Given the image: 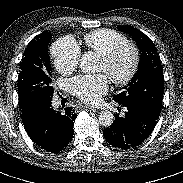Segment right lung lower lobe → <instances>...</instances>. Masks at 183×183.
Masks as SVG:
<instances>
[{"label": "right lung lower lobe", "mask_w": 183, "mask_h": 183, "mask_svg": "<svg viewBox=\"0 0 183 183\" xmlns=\"http://www.w3.org/2000/svg\"><path fill=\"white\" fill-rule=\"evenodd\" d=\"M21 109V118L31 140L51 153L65 150L73 138V122L77 117L71 108L55 111L51 98L34 99Z\"/></svg>", "instance_id": "98d812e1"}]
</instances>
